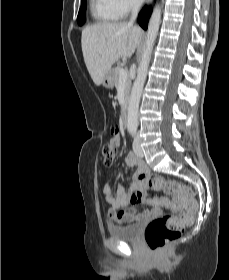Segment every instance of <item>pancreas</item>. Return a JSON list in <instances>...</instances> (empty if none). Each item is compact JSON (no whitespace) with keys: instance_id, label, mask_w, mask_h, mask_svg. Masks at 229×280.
<instances>
[{"instance_id":"cf45deb5","label":"pancreas","mask_w":229,"mask_h":280,"mask_svg":"<svg viewBox=\"0 0 229 280\" xmlns=\"http://www.w3.org/2000/svg\"><path fill=\"white\" fill-rule=\"evenodd\" d=\"M122 68H123L122 65L118 63L117 66L113 69L115 74V81H114L115 87H117L119 84V80H120L119 71ZM130 88H131V80L129 79V77H127L125 79V87H124L125 99H127L129 96Z\"/></svg>"}]
</instances>
